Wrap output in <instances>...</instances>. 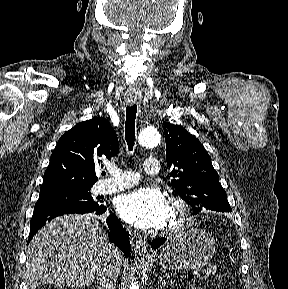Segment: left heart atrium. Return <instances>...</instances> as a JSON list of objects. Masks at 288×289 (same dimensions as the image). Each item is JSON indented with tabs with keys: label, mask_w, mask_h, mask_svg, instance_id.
<instances>
[{
	"label": "left heart atrium",
	"mask_w": 288,
	"mask_h": 289,
	"mask_svg": "<svg viewBox=\"0 0 288 289\" xmlns=\"http://www.w3.org/2000/svg\"><path fill=\"white\" fill-rule=\"evenodd\" d=\"M118 214L128 223L140 228H156L169 221L170 206L156 188L143 187L119 196Z\"/></svg>",
	"instance_id": "39dd6f15"
}]
</instances>
